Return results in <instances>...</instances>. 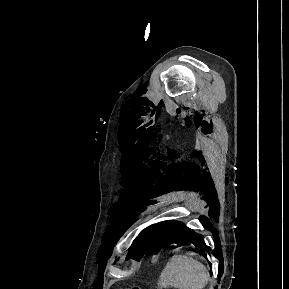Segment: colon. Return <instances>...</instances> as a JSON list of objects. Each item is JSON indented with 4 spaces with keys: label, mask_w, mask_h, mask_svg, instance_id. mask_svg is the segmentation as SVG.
<instances>
[{
    "label": "colon",
    "mask_w": 289,
    "mask_h": 289,
    "mask_svg": "<svg viewBox=\"0 0 289 289\" xmlns=\"http://www.w3.org/2000/svg\"><path fill=\"white\" fill-rule=\"evenodd\" d=\"M134 289H140L139 287H135Z\"/></svg>",
    "instance_id": "colon-1"
}]
</instances>
